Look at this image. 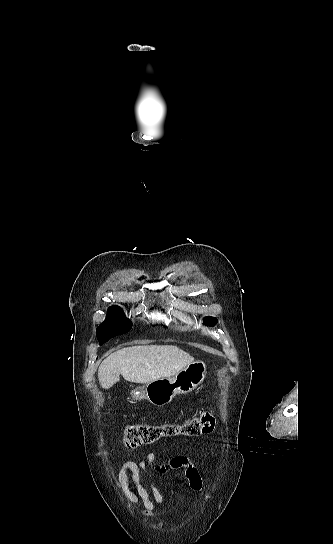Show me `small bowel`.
<instances>
[{"label": "small bowel", "mask_w": 333, "mask_h": 544, "mask_svg": "<svg viewBox=\"0 0 333 544\" xmlns=\"http://www.w3.org/2000/svg\"><path fill=\"white\" fill-rule=\"evenodd\" d=\"M149 470L158 474H165L170 470H181L192 491L198 492L202 487V479L198 469L184 456H176L168 462L159 463L153 453H147L139 461L125 462L119 470L116 486L122 490L130 502L142 504L143 513L147 516L153 513L155 504L164 502L162 494L153 482L148 480V488L142 483L143 477L148 474ZM130 480L134 484V490L129 485Z\"/></svg>", "instance_id": "small-bowel-1"}]
</instances>
